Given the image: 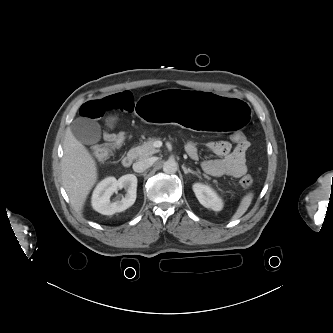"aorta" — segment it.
<instances>
[{
  "label": "aorta",
  "mask_w": 333,
  "mask_h": 333,
  "mask_svg": "<svg viewBox=\"0 0 333 333\" xmlns=\"http://www.w3.org/2000/svg\"><path fill=\"white\" fill-rule=\"evenodd\" d=\"M163 171L166 174H174L177 171V163L172 160H167L164 162Z\"/></svg>",
  "instance_id": "obj_1"
}]
</instances>
